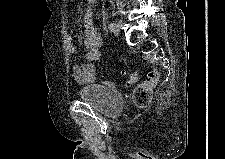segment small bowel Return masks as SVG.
I'll return each instance as SVG.
<instances>
[{
  "label": "small bowel",
  "mask_w": 225,
  "mask_h": 159,
  "mask_svg": "<svg viewBox=\"0 0 225 159\" xmlns=\"http://www.w3.org/2000/svg\"><path fill=\"white\" fill-rule=\"evenodd\" d=\"M88 9L84 16V59L86 62L82 64H74L72 66V75L74 79L82 85L92 83L97 76V67L95 62L100 59L102 53L100 47L102 46V38L98 33L94 21L92 6L95 0H87ZM67 53L70 56L76 54L78 49L77 35L67 36L66 38Z\"/></svg>",
  "instance_id": "small-bowel-1"
}]
</instances>
